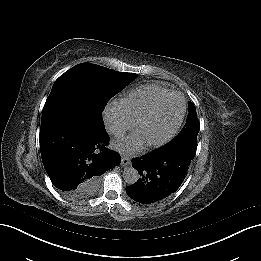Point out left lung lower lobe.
Listing matches in <instances>:
<instances>
[{"label":"left lung lower lobe","instance_id":"left-lung-lower-lobe-1","mask_svg":"<svg viewBox=\"0 0 261 261\" xmlns=\"http://www.w3.org/2000/svg\"><path fill=\"white\" fill-rule=\"evenodd\" d=\"M195 152L184 145H166L133 159L132 165L141 177L137 183L126 188V193L142 204L166 200L180 187Z\"/></svg>","mask_w":261,"mask_h":261}]
</instances>
